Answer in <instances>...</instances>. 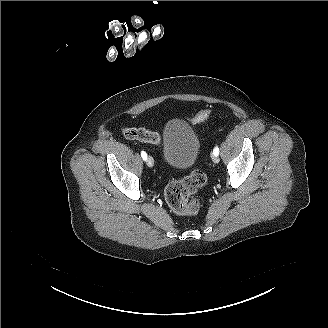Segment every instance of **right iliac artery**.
<instances>
[{"label":"right iliac artery","mask_w":328,"mask_h":328,"mask_svg":"<svg viewBox=\"0 0 328 328\" xmlns=\"http://www.w3.org/2000/svg\"><path fill=\"white\" fill-rule=\"evenodd\" d=\"M141 156H142L143 160H146L147 159V154H146L145 151H142L141 152Z\"/></svg>","instance_id":"1"}]
</instances>
